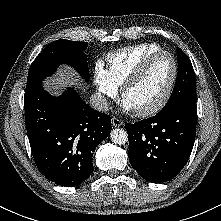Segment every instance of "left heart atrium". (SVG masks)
<instances>
[{
    "label": "left heart atrium",
    "instance_id": "obj_1",
    "mask_svg": "<svg viewBox=\"0 0 221 221\" xmlns=\"http://www.w3.org/2000/svg\"><path fill=\"white\" fill-rule=\"evenodd\" d=\"M122 108L125 112L134 110V108L126 100H123Z\"/></svg>",
    "mask_w": 221,
    "mask_h": 221
}]
</instances>
